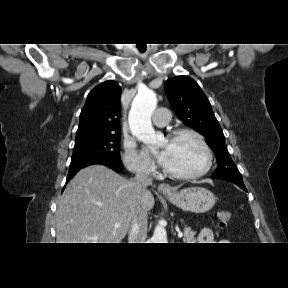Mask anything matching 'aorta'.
Returning a JSON list of instances; mask_svg holds the SVG:
<instances>
[{"mask_svg":"<svg viewBox=\"0 0 288 288\" xmlns=\"http://www.w3.org/2000/svg\"><path fill=\"white\" fill-rule=\"evenodd\" d=\"M156 106V94L149 89L140 90L133 99L129 113L132 135L149 145H156L160 142V137L156 134L151 123V116ZM151 240L152 243H167L166 230L160 223L155 227Z\"/></svg>","mask_w":288,"mask_h":288,"instance_id":"aorta-1","label":"aorta"}]
</instances>
